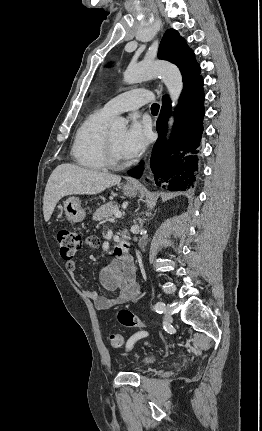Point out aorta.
Masks as SVG:
<instances>
[{"label": "aorta", "instance_id": "obj_1", "mask_svg": "<svg viewBox=\"0 0 262 431\" xmlns=\"http://www.w3.org/2000/svg\"><path fill=\"white\" fill-rule=\"evenodd\" d=\"M153 77L161 78L168 89L172 105L175 106L183 90L182 75L175 65L168 62H142L129 65L123 74V80L127 84L139 83ZM172 125L173 117L169 120V128ZM109 126L112 132L120 133L126 129V122L124 118L118 117L111 120Z\"/></svg>", "mask_w": 262, "mask_h": 431}]
</instances>
